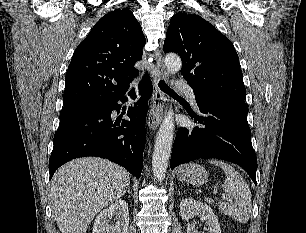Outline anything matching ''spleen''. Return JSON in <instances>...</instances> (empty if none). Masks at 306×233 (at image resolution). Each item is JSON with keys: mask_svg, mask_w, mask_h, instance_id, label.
Instances as JSON below:
<instances>
[{"mask_svg": "<svg viewBox=\"0 0 306 233\" xmlns=\"http://www.w3.org/2000/svg\"><path fill=\"white\" fill-rule=\"evenodd\" d=\"M210 163L222 168L226 175L222 188L234 199L233 203L219 201V209L235 221L246 223L252 212V199L248 184L229 164L219 160H211Z\"/></svg>", "mask_w": 306, "mask_h": 233, "instance_id": "1", "label": "spleen"}]
</instances>
